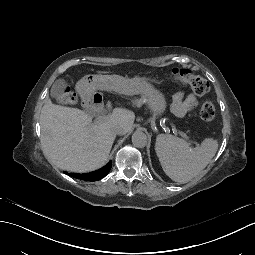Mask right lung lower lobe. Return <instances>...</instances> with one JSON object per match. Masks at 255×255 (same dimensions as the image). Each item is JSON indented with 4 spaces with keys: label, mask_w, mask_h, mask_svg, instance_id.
Instances as JSON below:
<instances>
[{
    "label": "right lung lower lobe",
    "mask_w": 255,
    "mask_h": 255,
    "mask_svg": "<svg viewBox=\"0 0 255 255\" xmlns=\"http://www.w3.org/2000/svg\"><path fill=\"white\" fill-rule=\"evenodd\" d=\"M106 176V175H105ZM105 176H103V177H105ZM73 177V176H72ZM103 177H101L100 179H102ZM75 178V177H74ZM77 179H79V178H77ZM100 179H98V180H100ZM82 180V179H81ZM98 180H94V181H98ZM86 181V180H85ZM88 181V180H87ZM93 181V180H92Z\"/></svg>",
    "instance_id": "obj_1"
}]
</instances>
